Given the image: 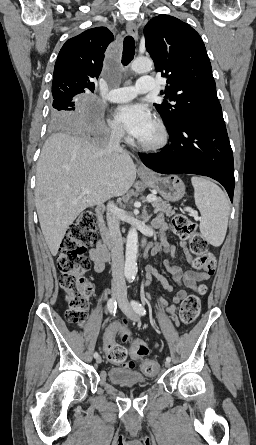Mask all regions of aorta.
I'll return each instance as SVG.
<instances>
[{
    "instance_id": "762f6f07",
    "label": "aorta",
    "mask_w": 256,
    "mask_h": 445,
    "mask_svg": "<svg viewBox=\"0 0 256 445\" xmlns=\"http://www.w3.org/2000/svg\"><path fill=\"white\" fill-rule=\"evenodd\" d=\"M153 62L149 58H136L131 63V70L136 73H146L152 70ZM137 253H138V233L135 228H131L126 241V260L124 274L127 280L135 279L137 275Z\"/></svg>"
}]
</instances>
